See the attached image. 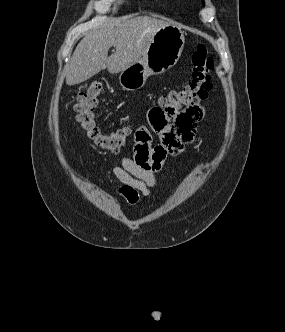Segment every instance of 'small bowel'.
<instances>
[{
    "label": "small bowel",
    "mask_w": 285,
    "mask_h": 332,
    "mask_svg": "<svg viewBox=\"0 0 285 332\" xmlns=\"http://www.w3.org/2000/svg\"><path fill=\"white\" fill-rule=\"evenodd\" d=\"M147 122L135 132L133 157L122 156L121 163L112 168L121 183L120 194L134 205L140 196L149 197L159 185L157 173L169 154L180 153L192 142L197 124L204 117V109L193 106L181 111L175 103L148 106ZM152 133H158L160 143L153 145Z\"/></svg>",
    "instance_id": "small-bowel-1"
}]
</instances>
